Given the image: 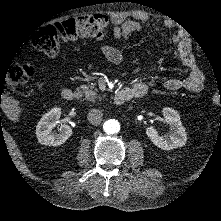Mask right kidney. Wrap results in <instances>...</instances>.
I'll return each instance as SVG.
<instances>
[{
  "instance_id": "1",
  "label": "right kidney",
  "mask_w": 221,
  "mask_h": 221,
  "mask_svg": "<svg viewBox=\"0 0 221 221\" xmlns=\"http://www.w3.org/2000/svg\"><path fill=\"white\" fill-rule=\"evenodd\" d=\"M61 108L54 107L45 113L36 126V137L38 142L47 146H58L66 142L72 135V128L63 124L59 119ZM59 125L57 130L54 128Z\"/></svg>"
}]
</instances>
